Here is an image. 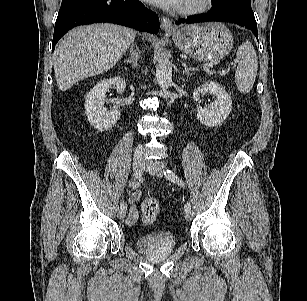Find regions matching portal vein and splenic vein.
I'll return each instance as SVG.
<instances>
[{
    "label": "portal vein and splenic vein",
    "instance_id": "1",
    "mask_svg": "<svg viewBox=\"0 0 307 301\" xmlns=\"http://www.w3.org/2000/svg\"><path fill=\"white\" fill-rule=\"evenodd\" d=\"M204 68H212L213 67V63H209V64H204L203 65Z\"/></svg>",
    "mask_w": 307,
    "mask_h": 301
}]
</instances>
